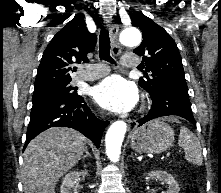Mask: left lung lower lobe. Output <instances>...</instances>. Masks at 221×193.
I'll list each match as a JSON object with an SVG mask.
<instances>
[{
    "instance_id": "left-lung-lower-lobe-1",
    "label": "left lung lower lobe",
    "mask_w": 221,
    "mask_h": 193,
    "mask_svg": "<svg viewBox=\"0 0 221 193\" xmlns=\"http://www.w3.org/2000/svg\"><path fill=\"white\" fill-rule=\"evenodd\" d=\"M152 106L148 114L140 119L139 126L161 116L177 115L196 126L191 110L188 87L185 83L163 84L150 94Z\"/></svg>"
}]
</instances>
